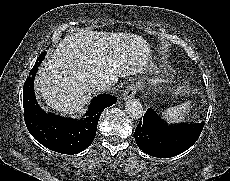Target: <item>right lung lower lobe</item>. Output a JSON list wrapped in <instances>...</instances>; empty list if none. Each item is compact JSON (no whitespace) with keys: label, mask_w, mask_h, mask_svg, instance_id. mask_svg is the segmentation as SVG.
I'll list each match as a JSON object with an SVG mask.
<instances>
[{"label":"right lung lower lobe","mask_w":230,"mask_h":181,"mask_svg":"<svg viewBox=\"0 0 230 181\" xmlns=\"http://www.w3.org/2000/svg\"><path fill=\"white\" fill-rule=\"evenodd\" d=\"M45 54L43 52L37 58L23 87L25 123L31 135L43 146L62 154H76L93 142L101 112L116 103L117 98L109 94L98 95L92 100L86 118L81 120L45 113L37 104L33 89L37 67Z\"/></svg>","instance_id":"obj_1"}]
</instances>
